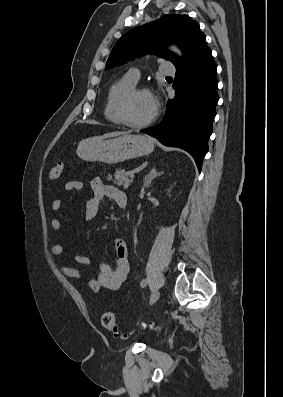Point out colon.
<instances>
[{"label":"colon","instance_id":"1","mask_svg":"<svg viewBox=\"0 0 283 397\" xmlns=\"http://www.w3.org/2000/svg\"><path fill=\"white\" fill-rule=\"evenodd\" d=\"M64 163L57 162L53 164L49 170L48 177L50 180H58L63 172ZM101 324L107 330L113 332L115 335H122L119 326L116 320L114 313L108 311L102 314L101 316Z\"/></svg>","mask_w":283,"mask_h":397}]
</instances>
